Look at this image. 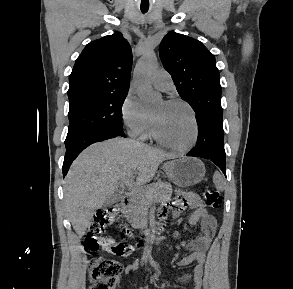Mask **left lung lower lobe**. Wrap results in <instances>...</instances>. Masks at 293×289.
Here are the masks:
<instances>
[{"label":"left lung lower lobe","instance_id":"left-lung-lower-lobe-1","mask_svg":"<svg viewBox=\"0 0 293 289\" xmlns=\"http://www.w3.org/2000/svg\"><path fill=\"white\" fill-rule=\"evenodd\" d=\"M198 140L196 146L187 156L201 157L211 160L226 175L224 131L222 120L208 117L197 120Z\"/></svg>","mask_w":293,"mask_h":289}]
</instances>
